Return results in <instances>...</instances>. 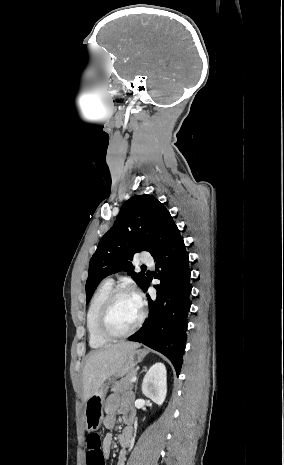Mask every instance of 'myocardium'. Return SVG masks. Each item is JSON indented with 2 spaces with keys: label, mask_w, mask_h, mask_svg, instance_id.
I'll return each instance as SVG.
<instances>
[{
  "label": "myocardium",
  "mask_w": 284,
  "mask_h": 465,
  "mask_svg": "<svg viewBox=\"0 0 284 465\" xmlns=\"http://www.w3.org/2000/svg\"><path fill=\"white\" fill-rule=\"evenodd\" d=\"M123 296H132L134 298H136L135 294L130 291V290H127V289H115L111 292V294L108 296V298L105 300L101 310H100V313L98 315V318H97V322H96V332L98 334V336L105 340V341H108V342H112V343H116V342H121V341H124V340H127L129 338H131L132 336H134L137 331L140 329L141 325L143 324L145 318H146V315H147V311L145 309V306L143 304V302L141 300H139V305H140V309H141V315H140V318L138 320V322L136 323V325L132 328V330L130 332H128L127 334L125 335H122V336H116L114 334H112L109 329H108V320H109V317H110V313L116 303V301L123 297Z\"/></svg>",
  "instance_id": "obj_1"
}]
</instances>
